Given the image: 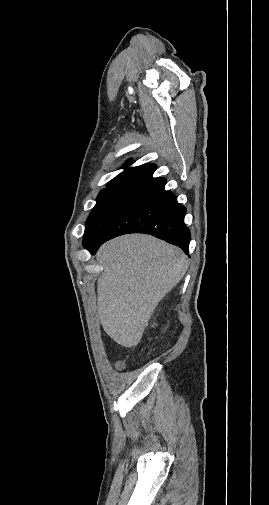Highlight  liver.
Masks as SVG:
<instances>
[{"label":"liver","instance_id":"liver-1","mask_svg":"<svg viewBox=\"0 0 269 505\" xmlns=\"http://www.w3.org/2000/svg\"><path fill=\"white\" fill-rule=\"evenodd\" d=\"M97 260L98 315L104 331L123 347L136 346L159 301L188 269L176 246L143 234L123 235L103 244Z\"/></svg>","mask_w":269,"mask_h":505}]
</instances>
